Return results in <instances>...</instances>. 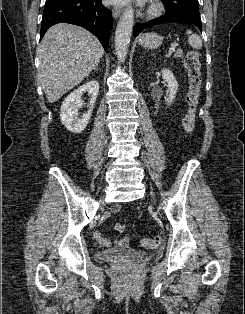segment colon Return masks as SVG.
Segmentation results:
<instances>
[{
	"label": "colon",
	"instance_id": "colon-1",
	"mask_svg": "<svg viewBox=\"0 0 245 314\" xmlns=\"http://www.w3.org/2000/svg\"><path fill=\"white\" fill-rule=\"evenodd\" d=\"M184 64L189 77V90L187 94L188 110L183 119V127L187 133L191 134L194 130L195 114L202 85L199 54L196 51H190L185 57ZM141 243L146 248L154 249L160 246L161 240L159 237L153 236L143 238Z\"/></svg>",
	"mask_w": 245,
	"mask_h": 314
}]
</instances>
